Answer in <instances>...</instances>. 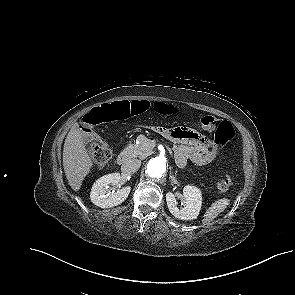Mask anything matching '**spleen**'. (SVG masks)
<instances>
[{
  "label": "spleen",
  "mask_w": 295,
  "mask_h": 295,
  "mask_svg": "<svg viewBox=\"0 0 295 295\" xmlns=\"http://www.w3.org/2000/svg\"><path fill=\"white\" fill-rule=\"evenodd\" d=\"M229 204L230 200L227 198H222L212 203L204 214V218L202 220L203 224H210L221 212L227 208Z\"/></svg>",
  "instance_id": "obj_1"
}]
</instances>
